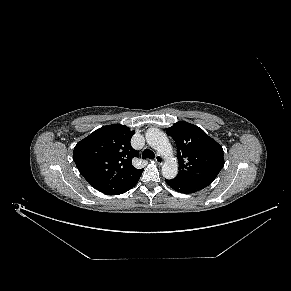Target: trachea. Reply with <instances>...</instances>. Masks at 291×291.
Instances as JSON below:
<instances>
[{"label":"trachea","mask_w":291,"mask_h":291,"mask_svg":"<svg viewBox=\"0 0 291 291\" xmlns=\"http://www.w3.org/2000/svg\"><path fill=\"white\" fill-rule=\"evenodd\" d=\"M155 157V154L150 149H145L142 153L143 159H153Z\"/></svg>","instance_id":"trachea-1"}]
</instances>
